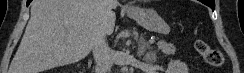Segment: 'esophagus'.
<instances>
[{
    "instance_id": "esophagus-1",
    "label": "esophagus",
    "mask_w": 244,
    "mask_h": 73,
    "mask_svg": "<svg viewBox=\"0 0 244 73\" xmlns=\"http://www.w3.org/2000/svg\"><path fill=\"white\" fill-rule=\"evenodd\" d=\"M128 8H132V6H127Z\"/></svg>"
}]
</instances>
